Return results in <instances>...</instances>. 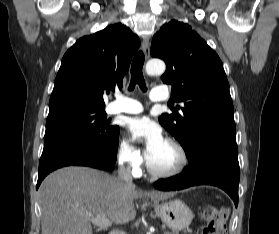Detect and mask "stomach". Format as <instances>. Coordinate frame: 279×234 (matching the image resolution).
I'll use <instances>...</instances> for the list:
<instances>
[{
  "mask_svg": "<svg viewBox=\"0 0 279 234\" xmlns=\"http://www.w3.org/2000/svg\"><path fill=\"white\" fill-rule=\"evenodd\" d=\"M153 207L162 222L174 232L187 228L193 219V213L190 208L180 200L161 204L158 201H154Z\"/></svg>",
  "mask_w": 279,
  "mask_h": 234,
  "instance_id": "stomach-1",
  "label": "stomach"
}]
</instances>
